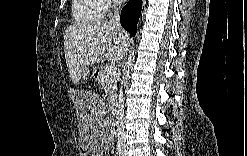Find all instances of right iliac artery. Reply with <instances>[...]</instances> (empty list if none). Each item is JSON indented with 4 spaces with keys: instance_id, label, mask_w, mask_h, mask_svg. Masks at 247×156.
Segmentation results:
<instances>
[{
    "instance_id": "obj_1",
    "label": "right iliac artery",
    "mask_w": 247,
    "mask_h": 156,
    "mask_svg": "<svg viewBox=\"0 0 247 156\" xmlns=\"http://www.w3.org/2000/svg\"><path fill=\"white\" fill-rule=\"evenodd\" d=\"M116 149H117V154L121 155V146H120V144H117Z\"/></svg>"
}]
</instances>
